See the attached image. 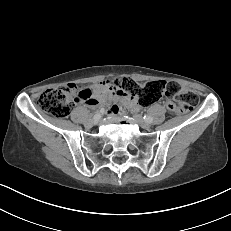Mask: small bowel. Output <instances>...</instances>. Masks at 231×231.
I'll return each instance as SVG.
<instances>
[{
	"label": "small bowel",
	"instance_id": "obj_1",
	"mask_svg": "<svg viewBox=\"0 0 231 231\" xmlns=\"http://www.w3.org/2000/svg\"><path fill=\"white\" fill-rule=\"evenodd\" d=\"M81 91L84 96L78 100L80 103H86L90 107H99L111 99H118L123 105L137 111L139 109L136 97L127 95L111 88L110 80H105L93 85L83 86ZM119 111V106L112 105L109 107L110 113Z\"/></svg>",
	"mask_w": 231,
	"mask_h": 231
}]
</instances>
